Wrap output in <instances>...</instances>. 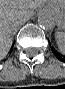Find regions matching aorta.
Segmentation results:
<instances>
[{
	"label": "aorta",
	"instance_id": "aorta-1",
	"mask_svg": "<svg viewBox=\"0 0 65 89\" xmlns=\"http://www.w3.org/2000/svg\"><path fill=\"white\" fill-rule=\"evenodd\" d=\"M38 24L42 29L50 30L55 25V19L49 11H41L38 15Z\"/></svg>",
	"mask_w": 65,
	"mask_h": 89
}]
</instances>
